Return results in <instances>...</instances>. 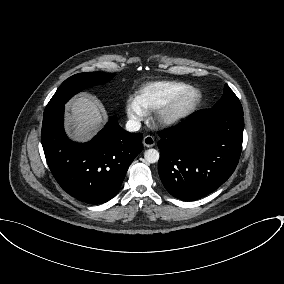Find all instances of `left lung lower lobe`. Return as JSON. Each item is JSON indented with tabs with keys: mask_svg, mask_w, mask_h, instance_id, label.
<instances>
[{
	"mask_svg": "<svg viewBox=\"0 0 284 284\" xmlns=\"http://www.w3.org/2000/svg\"><path fill=\"white\" fill-rule=\"evenodd\" d=\"M243 129V111L213 107L161 131L158 171L166 190L186 201L216 190L238 164Z\"/></svg>",
	"mask_w": 284,
	"mask_h": 284,
	"instance_id": "1",
	"label": "left lung lower lobe"
}]
</instances>
